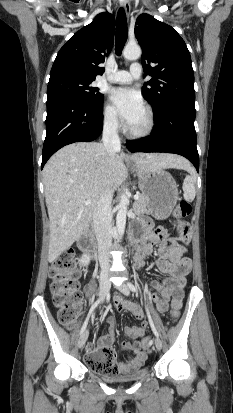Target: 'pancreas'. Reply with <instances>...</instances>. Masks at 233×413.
Instances as JSON below:
<instances>
[{
	"mask_svg": "<svg viewBox=\"0 0 233 413\" xmlns=\"http://www.w3.org/2000/svg\"><path fill=\"white\" fill-rule=\"evenodd\" d=\"M134 212L136 215L149 212V202L143 194H140L139 199L134 202Z\"/></svg>",
	"mask_w": 233,
	"mask_h": 413,
	"instance_id": "pancreas-1",
	"label": "pancreas"
}]
</instances>
